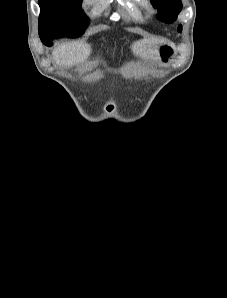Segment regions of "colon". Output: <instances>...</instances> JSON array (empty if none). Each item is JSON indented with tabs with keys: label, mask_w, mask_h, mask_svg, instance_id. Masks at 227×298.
Returning <instances> with one entry per match:
<instances>
[{
	"label": "colon",
	"mask_w": 227,
	"mask_h": 298,
	"mask_svg": "<svg viewBox=\"0 0 227 298\" xmlns=\"http://www.w3.org/2000/svg\"><path fill=\"white\" fill-rule=\"evenodd\" d=\"M171 53H172V50L169 46L162 47V49H161L162 58H164V59L168 58L171 55Z\"/></svg>",
	"instance_id": "1"
}]
</instances>
